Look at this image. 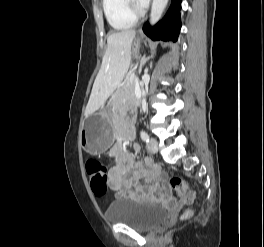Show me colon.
<instances>
[{
	"mask_svg": "<svg viewBox=\"0 0 264 247\" xmlns=\"http://www.w3.org/2000/svg\"><path fill=\"white\" fill-rule=\"evenodd\" d=\"M86 173L90 179L93 192L98 196H103L108 190L109 176L106 168L97 160H88L85 165ZM170 187L182 196L187 202L193 201L195 194L188 192L187 183L178 176H174L169 180ZM192 211L187 209L184 211L182 218L187 219L191 216Z\"/></svg>",
	"mask_w": 264,
	"mask_h": 247,
	"instance_id": "obj_1",
	"label": "colon"
}]
</instances>
